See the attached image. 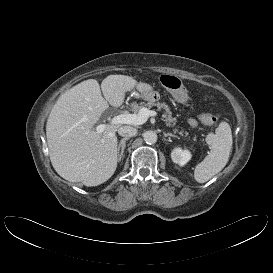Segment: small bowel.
<instances>
[{
  "label": "small bowel",
  "instance_id": "obj_1",
  "mask_svg": "<svg viewBox=\"0 0 273 273\" xmlns=\"http://www.w3.org/2000/svg\"><path fill=\"white\" fill-rule=\"evenodd\" d=\"M188 122H189V124L191 125V126H196V120L195 119H193V118H190L189 120H188Z\"/></svg>",
  "mask_w": 273,
  "mask_h": 273
}]
</instances>
